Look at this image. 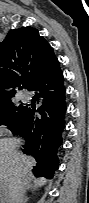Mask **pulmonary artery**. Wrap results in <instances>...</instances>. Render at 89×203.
Returning a JSON list of instances; mask_svg holds the SVG:
<instances>
[{"mask_svg":"<svg viewBox=\"0 0 89 203\" xmlns=\"http://www.w3.org/2000/svg\"><path fill=\"white\" fill-rule=\"evenodd\" d=\"M28 99H29V97H28L26 94H22V95L20 96V100H21L22 102H27Z\"/></svg>","mask_w":89,"mask_h":203,"instance_id":"e3ab8cb5","label":"pulmonary artery"}]
</instances>
